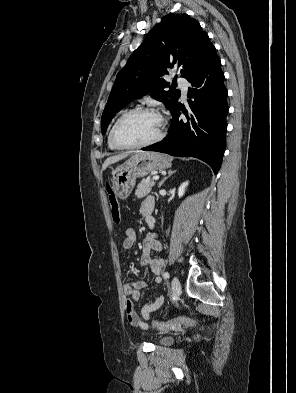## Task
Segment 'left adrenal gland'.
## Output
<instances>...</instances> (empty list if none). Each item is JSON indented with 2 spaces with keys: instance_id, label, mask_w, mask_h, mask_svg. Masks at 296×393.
Wrapping results in <instances>:
<instances>
[{
  "instance_id": "a2214340",
  "label": "left adrenal gland",
  "mask_w": 296,
  "mask_h": 393,
  "mask_svg": "<svg viewBox=\"0 0 296 393\" xmlns=\"http://www.w3.org/2000/svg\"><path fill=\"white\" fill-rule=\"evenodd\" d=\"M175 172H176V171H171V170L168 171V176H166L164 179L161 180V182L159 183L158 187L160 188V187L163 185V183H164L171 175H173Z\"/></svg>"
}]
</instances>
